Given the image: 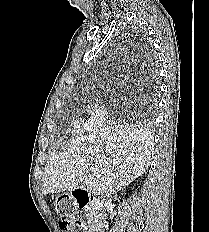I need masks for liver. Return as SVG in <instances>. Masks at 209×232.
<instances>
[{
  "mask_svg": "<svg viewBox=\"0 0 209 232\" xmlns=\"http://www.w3.org/2000/svg\"><path fill=\"white\" fill-rule=\"evenodd\" d=\"M153 153V139L142 127L114 125L78 137L50 159L42 194L82 187L109 197L141 176L151 164Z\"/></svg>",
  "mask_w": 209,
  "mask_h": 232,
  "instance_id": "liver-1",
  "label": "liver"
}]
</instances>
